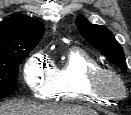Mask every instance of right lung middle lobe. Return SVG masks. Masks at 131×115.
<instances>
[{"label":"right lung middle lobe","mask_w":131,"mask_h":115,"mask_svg":"<svg viewBox=\"0 0 131 115\" xmlns=\"http://www.w3.org/2000/svg\"><path fill=\"white\" fill-rule=\"evenodd\" d=\"M31 50L15 53L9 57L7 62L0 63V99L17 91L18 66Z\"/></svg>","instance_id":"1"}]
</instances>
